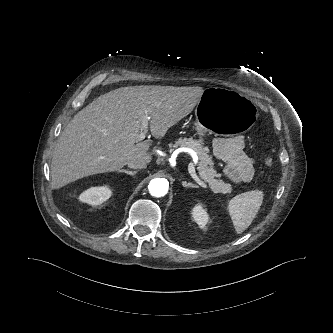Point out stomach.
I'll return each instance as SVG.
<instances>
[{
	"label": "stomach",
	"instance_id": "0dacf381",
	"mask_svg": "<svg viewBox=\"0 0 333 333\" xmlns=\"http://www.w3.org/2000/svg\"><path fill=\"white\" fill-rule=\"evenodd\" d=\"M196 135L225 136L249 129L257 116L256 106L242 94L225 89H208L195 109Z\"/></svg>",
	"mask_w": 333,
	"mask_h": 333
}]
</instances>
